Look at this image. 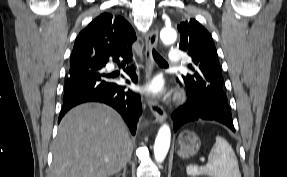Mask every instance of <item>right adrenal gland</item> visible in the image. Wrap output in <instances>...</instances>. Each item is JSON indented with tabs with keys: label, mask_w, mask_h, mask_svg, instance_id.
Returning a JSON list of instances; mask_svg holds the SVG:
<instances>
[{
	"label": "right adrenal gland",
	"mask_w": 287,
	"mask_h": 177,
	"mask_svg": "<svg viewBox=\"0 0 287 177\" xmlns=\"http://www.w3.org/2000/svg\"><path fill=\"white\" fill-rule=\"evenodd\" d=\"M126 170H127V167L125 166L123 169L122 177H126ZM116 177H120V175H116Z\"/></svg>",
	"instance_id": "obj_1"
}]
</instances>
